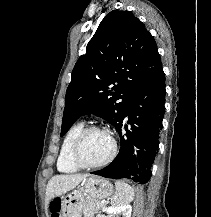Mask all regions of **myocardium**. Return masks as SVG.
Instances as JSON below:
<instances>
[{
    "label": "myocardium",
    "mask_w": 211,
    "mask_h": 217,
    "mask_svg": "<svg viewBox=\"0 0 211 217\" xmlns=\"http://www.w3.org/2000/svg\"><path fill=\"white\" fill-rule=\"evenodd\" d=\"M92 131L106 132L110 136V139L112 142V149H111L110 154L104 160H102L100 162H96V163L87 162L84 159L83 153H82L85 139H86L87 135ZM116 154H117V142H116L115 138L112 136V134L108 130H106L100 126H96V125L84 127L83 130L78 135V137L76 138L74 145H73V148H72V159H73L74 163L77 166H79L80 168H85V169H92V168H98V167L105 166V165H107L113 161Z\"/></svg>",
    "instance_id": "1"
}]
</instances>
